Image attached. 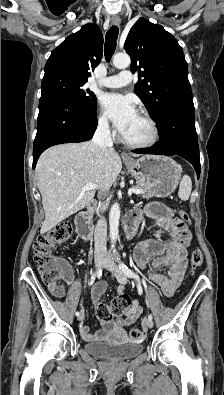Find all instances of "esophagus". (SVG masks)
I'll return each mask as SVG.
<instances>
[{
    "instance_id": "34e87169",
    "label": "esophagus",
    "mask_w": 224,
    "mask_h": 395,
    "mask_svg": "<svg viewBox=\"0 0 224 395\" xmlns=\"http://www.w3.org/2000/svg\"><path fill=\"white\" fill-rule=\"evenodd\" d=\"M120 23H121L120 19H116L115 18V19L112 20V24L113 25H120ZM121 156H122L123 159H129V156H128V154L125 151H122Z\"/></svg>"
}]
</instances>
